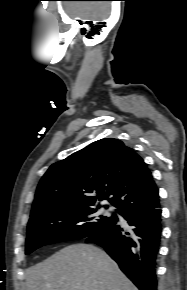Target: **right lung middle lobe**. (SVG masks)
<instances>
[{"mask_svg": "<svg viewBox=\"0 0 187 290\" xmlns=\"http://www.w3.org/2000/svg\"><path fill=\"white\" fill-rule=\"evenodd\" d=\"M98 208L91 205L54 212L31 223L27 227L26 254L44 245L87 238L117 221L115 214L111 217L99 215Z\"/></svg>", "mask_w": 187, "mask_h": 290, "instance_id": "right-lung-middle-lobe-1", "label": "right lung middle lobe"}]
</instances>
